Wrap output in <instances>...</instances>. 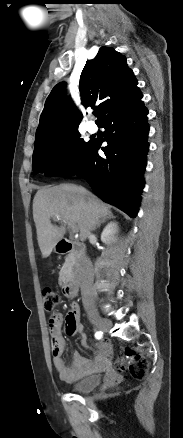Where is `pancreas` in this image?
Segmentation results:
<instances>
[{"label": "pancreas", "instance_id": "cf45deb5", "mask_svg": "<svg viewBox=\"0 0 183 438\" xmlns=\"http://www.w3.org/2000/svg\"><path fill=\"white\" fill-rule=\"evenodd\" d=\"M71 265H72V258L69 255L66 258V262L60 271V278H59L60 283L64 281L66 274L68 273L69 266H71Z\"/></svg>", "mask_w": 183, "mask_h": 438}]
</instances>
